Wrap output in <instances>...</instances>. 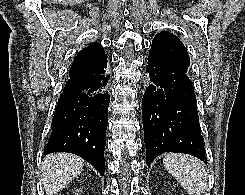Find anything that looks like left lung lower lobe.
Instances as JSON below:
<instances>
[{
  "label": "left lung lower lobe",
  "mask_w": 245,
  "mask_h": 195,
  "mask_svg": "<svg viewBox=\"0 0 245 195\" xmlns=\"http://www.w3.org/2000/svg\"><path fill=\"white\" fill-rule=\"evenodd\" d=\"M150 84L142 100V120L148 166L164 152L193 155L207 163L196 96L187 74L174 73L148 57Z\"/></svg>",
  "instance_id": "1"
}]
</instances>
